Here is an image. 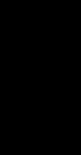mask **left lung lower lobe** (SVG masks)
Masks as SVG:
<instances>
[{"label":"left lung lower lobe","mask_w":81,"mask_h":155,"mask_svg":"<svg viewBox=\"0 0 81 155\" xmlns=\"http://www.w3.org/2000/svg\"><path fill=\"white\" fill-rule=\"evenodd\" d=\"M54 117L56 120L61 121L63 124L70 128L79 127L80 114L68 109L67 107L61 108L58 111H56Z\"/></svg>","instance_id":"obj_1"}]
</instances>
